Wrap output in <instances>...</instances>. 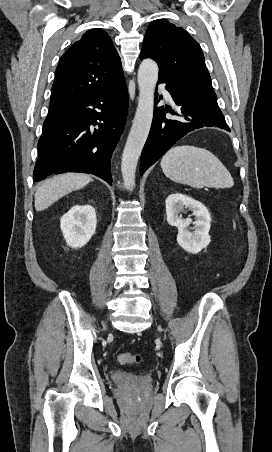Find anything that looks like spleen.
<instances>
[{
    "mask_svg": "<svg viewBox=\"0 0 272 452\" xmlns=\"http://www.w3.org/2000/svg\"><path fill=\"white\" fill-rule=\"evenodd\" d=\"M160 165L166 177L191 187L231 188L234 185L227 168L204 148L173 147L163 156Z\"/></svg>",
    "mask_w": 272,
    "mask_h": 452,
    "instance_id": "1",
    "label": "spleen"
}]
</instances>
